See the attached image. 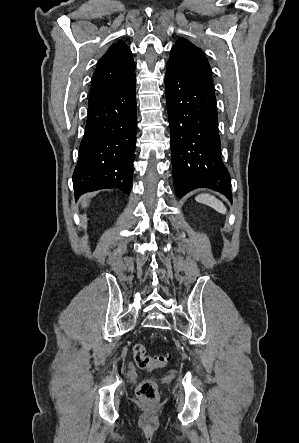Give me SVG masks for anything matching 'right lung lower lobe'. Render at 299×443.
I'll use <instances>...</instances> for the list:
<instances>
[{
    "instance_id": "1",
    "label": "right lung lower lobe",
    "mask_w": 299,
    "mask_h": 443,
    "mask_svg": "<svg viewBox=\"0 0 299 443\" xmlns=\"http://www.w3.org/2000/svg\"><path fill=\"white\" fill-rule=\"evenodd\" d=\"M136 77L89 103L73 173L75 198L104 188L129 193L136 131Z\"/></svg>"
}]
</instances>
